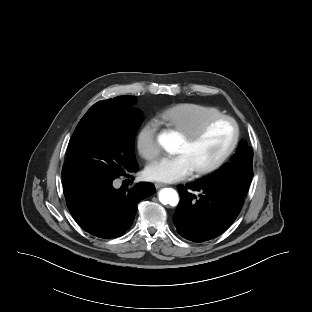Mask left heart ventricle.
Wrapping results in <instances>:
<instances>
[{
  "label": "left heart ventricle",
  "instance_id": "b2bd125f",
  "mask_svg": "<svg viewBox=\"0 0 312 312\" xmlns=\"http://www.w3.org/2000/svg\"><path fill=\"white\" fill-rule=\"evenodd\" d=\"M233 137V125L228 121H219L194 143L187 142L183 137L176 153L186 154L197 169L218 159L230 146Z\"/></svg>",
  "mask_w": 312,
  "mask_h": 312
}]
</instances>
